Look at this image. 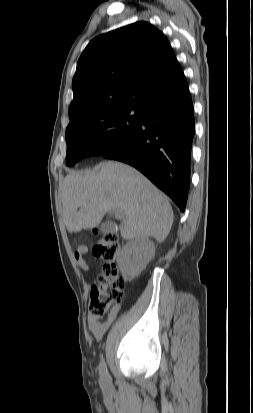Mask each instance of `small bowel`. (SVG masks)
<instances>
[{
  "mask_svg": "<svg viewBox=\"0 0 253 413\" xmlns=\"http://www.w3.org/2000/svg\"><path fill=\"white\" fill-rule=\"evenodd\" d=\"M88 247L86 245H80L77 247L74 253V259L76 263L85 271L89 269V266L85 260V255L88 253ZM120 311V305H114L106 317H94L89 315L87 318L88 328L93 336L99 340L105 334V332L112 325Z\"/></svg>",
  "mask_w": 253,
  "mask_h": 413,
  "instance_id": "obj_1",
  "label": "small bowel"
}]
</instances>
